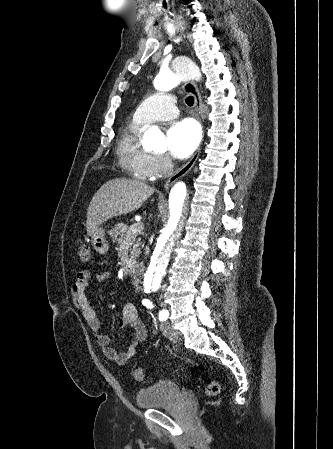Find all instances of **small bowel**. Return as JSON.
<instances>
[{"mask_svg":"<svg viewBox=\"0 0 333 449\" xmlns=\"http://www.w3.org/2000/svg\"><path fill=\"white\" fill-rule=\"evenodd\" d=\"M108 279L107 272H98L95 281L103 283ZM92 282V276L87 269L79 271L71 286V294L74 305L81 312L83 319L95 337L98 347L103 354L118 365H125L136 352V346L146 339L147 330L139 317L136 307L132 303H126L122 309V316L119 321L121 330H133V339L127 348L118 352L110 345V338L101 331L100 321L94 308L91 306L86 289Z\"/></svg>","mask_w":333,"mask_h":449,"instance_id":"1","label":"small bowel"}]
</instances>
